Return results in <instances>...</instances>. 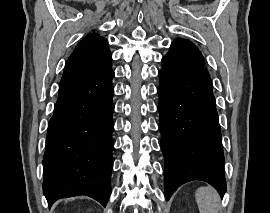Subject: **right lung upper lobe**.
I'll list each match as a JSON object with an SVG mask.
<instances>
[{
	"mask_svg": "<svg viewBox=\"0 0 270 213\" xmlns=\"http://www.w3.org/2000/svg\"><path fill=\"white\" fill-rule=\"evenodd\" d=\"M111 53L104 37L86 35L68 58L59 87L99 77L111 71Z\"/></svg>",
	"mask_w": 270,
	"mask_h": 213,
	"instance_id": "right-lung-upper-lobe-1",
	"label": "right lung upper lobe"
}]
</instances>
